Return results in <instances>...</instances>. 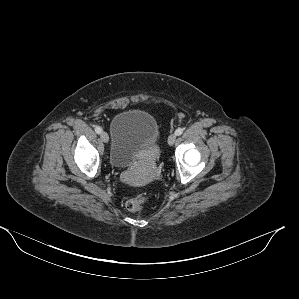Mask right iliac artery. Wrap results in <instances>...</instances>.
Wrapping results in <instances>:
<instances>
[{
  "mask_svg": "<svg viewBox=\"0 0 299 299\" xmlns=\"http://www.w3.org/2000/svg\"><path fill=\"white\" fill-rule=\"evenodd\" d=\"M95 132L100 134L102 132L101 127H99V126L95 127Z\"/></svg>",
  "mask_w": 299,
  "mask_h": 299,
  "instance_id": "82829eb1",
  "label": "right iliac artery"
}]
</instances>
